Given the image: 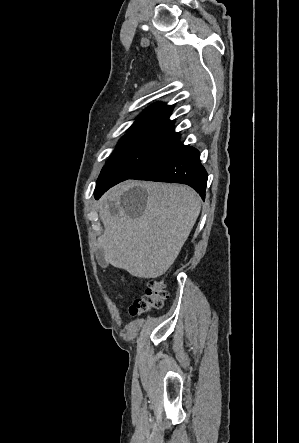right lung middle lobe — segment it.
Here are the masks:
<instances>
[{"instance_id": "obj_1", "label": "right lung middle lobe", "mask_w": 299, "mask_h": 443, "mask_svg": "<svg viewBox=\"0 0 299 443\" xmlns=\"http://www.w3.org/2000/svg\"><path fill=\"white\" fill-rule=\"evenodd\" d=\"M180 139L170 123L145 122L128 130L119 141L98 178L95 192L132 178Z\"/></svg>"}]
</instances>
